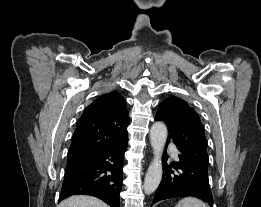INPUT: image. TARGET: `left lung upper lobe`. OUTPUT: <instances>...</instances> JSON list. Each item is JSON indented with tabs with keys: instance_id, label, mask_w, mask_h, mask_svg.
I'll return each mask as SVG.
<instances>
[{
	"instance_id": "left-lung-upper-lobe-1",
	"label": "left lung upper lobe",
	"mask_w": 261,
	"mask_h": 207,
	"mask_svg": "<svg viewBox=\"0 0 261 207\" xmlns=\"http://www.w3.org/2000/svg\"><path fill=\"white\" fill-rule=\"evenodd\" d=\"M155 120L164 121L169 139L179 153L194 163L208 169L207 141L199 115L188 103L171 96L159 104Z\"/></svg>"
}]
</instances>
